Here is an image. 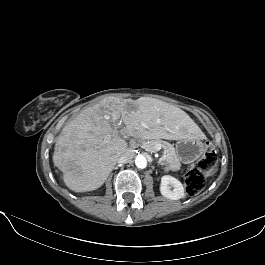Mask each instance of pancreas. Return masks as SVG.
Listing matches in <instances>:
<instances>
[{
	"label": "pancreas",
	"mask_w": 265,
	"mask_h": 265,
	"mask_svg": "<svg viewBox=\"0 0 265 265\" xmlns=\"http://www.w3.org/2000/svg\"><path fill=\"white\" fill-rule=\"evenodd\" d=\"M160 145L161 148L164 149L165 152V163L169 165L172 171H177L181 167V163L176 155L175 148L169 142L160 140V139H153L150 141H142L141 146L148 152H155L156 146Z\"/></svg>",
	"instance_id": "pancreas-1"
}]
</instances>
